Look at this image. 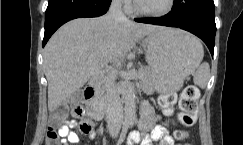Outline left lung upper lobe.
Masks as SVG:
<instances>
[{"mask_svg":"<svg viewBox=\"0 0 243 145\" xmlns=\"http://www.w3.org/2000/svg\"><path fill=\"white\" fill-rule=\"evenodd\" d=\"M172 10L194 20H215L213 0H174Z\"/></svg>","mask_w":243,"mask_h":145,"instance_id":"obj_1","label":"left lung upper lobe"}]
</instances>
